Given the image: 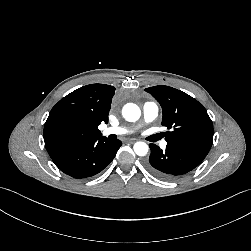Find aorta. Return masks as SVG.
Returning a JSON list of instances; mask_svg holds the SVG:
<instances>
[{"instance_id":"1","label":"aorta","mask_w":251,"mask_h":251,"mask_svg":"<svg viewBox=\"0 0 251 251\" xmlns=\"http://www.w3.org/2000/svg\"><path fill=\"white\" fill-rule=\"evenodd\" d=\"M122 115L126 121L135 122L140 118L141 111L136 104L127 103L122 109ZM133 149L138 156H145L148 153L149 147L145 142H136Z\"/></svg>"}]
</instances>
